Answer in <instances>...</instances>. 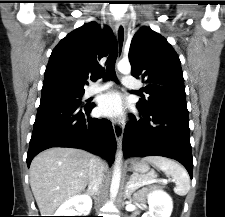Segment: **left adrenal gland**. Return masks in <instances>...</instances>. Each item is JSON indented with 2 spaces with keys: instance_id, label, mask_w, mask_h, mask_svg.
<instances>
[{
  "instance_id": "obj_1",
  "label": "left adrenal gland",
  "mask_w": 225,
  "mask_h": 217,
  "mask_svg": "<svg viewBox=\"0 0 225 217\" xmlns=\"http://www.w3.org/2000/svg\"><path fill=\"white\" fill-rule=\"evenodd\" d=\"M125 197L128 198L129 200H132L131 192H130L128 186H126V188H125Z\"/></svg>"
}]
</instances>
